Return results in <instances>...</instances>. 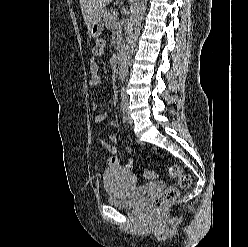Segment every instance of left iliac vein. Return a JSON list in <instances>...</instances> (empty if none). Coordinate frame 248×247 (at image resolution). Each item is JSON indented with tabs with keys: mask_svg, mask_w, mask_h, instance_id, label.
Returning a JSON list of instances; mask_svg holds the SVG:
<instances>
[{
	"mask_svg": "<svg viewBox=\"0 0 248 247\" xmlns=\"http://www.w3.org/2000/svg\"><path fill=\"white\" fill-rule=\"evenodd\" d=\"M126 119H127V122H128L130 125L133 124V119H132L131 116H130V112H129L128 108H127V110H126Z\"/></svg>",
	"mask_w": 248,
	"mask_h": 247,
	"instance_id": "left-iliac-vein-1",
	"label": "left iliac vein"
}]
</instances>
